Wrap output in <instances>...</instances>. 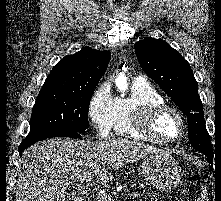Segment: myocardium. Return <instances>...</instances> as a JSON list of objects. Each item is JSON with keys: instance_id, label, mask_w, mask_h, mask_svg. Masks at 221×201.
<instances>
[{"instance_id": "obj_1", "label": "myocardium", "mask_w": 221, "mask_h": 201, "mask_svg": "<svg viewBox=\"0 0 221 201\" xmlns=\"http://www.w3.org/2000/svg\"><path fill=\"white\" fill-rule=\"evenodd\" d=\"M165 114L173 115L179 123L180 132L177 137L165 138L161 136L155 129L157 121ZM133 125L135 130L151 141L169 144L180 140L185 133V123L181 114L172 106L162 103H151L141 107L136 111L133 117Z\"/></svg>"}]
</instances>
